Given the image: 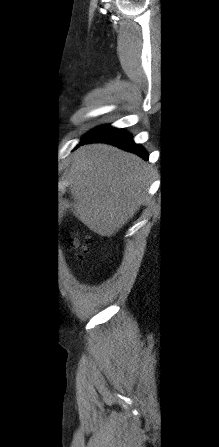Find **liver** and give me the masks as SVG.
<instances>
[{"mask_svg": "<svg viewBox=\"0 0 219 447\" xmlns=\"http://www.w3.org/2000/svg\"><path fill=\"white\" fill-rule=\"evenodd\" d=\"M75 216L101 236H112L139 210L152 170L132 154L106 144L79 148L71 168Z\"/></svg>", "mask_w": 219, "mask_h": 447, "instance_id": "obj_1", "label": "liver"}]
</instances>
